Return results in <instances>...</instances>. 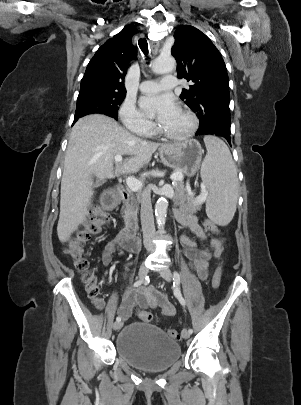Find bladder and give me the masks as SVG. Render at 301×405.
Returning a JSON list of instances; mask_svg holds the SVG:
<instances>
[{"label": "bladder", "instance_id": "1", "mask_svg": "<svg viewBox=\"0 0 301 405\" xmlns=\"http://www.w3.org/2000/svg\"><path fill=\"white\" fill-rule=\"evenodd\" d=\"M117 355L131 366L146 372L168 369L180 357V345L157 326L132 322L117 335Z\"/></svg>", "mask_w": 301, "mask_h": 405}]
</instances>
